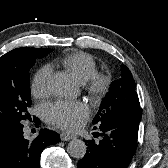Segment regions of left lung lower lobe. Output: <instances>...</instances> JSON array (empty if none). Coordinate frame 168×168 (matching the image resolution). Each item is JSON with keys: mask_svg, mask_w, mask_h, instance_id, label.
I'll list each match as a JSON object with an SVG mask.
<instances>
[{"mask_svg": "<svg viewBox=\"0 0 168 168\" xmlns=\"http://www.w3.org/2000/svg\"><path fill=\"white\" fill-rule=\"evenodd\" d=\"M99 125L103 138L84 140L88 150L78 168H127L136 151L139 124L118 118Z\"/></svg>", "mask_w": 168, "mask_h": 168, "instance_id": "1", "label": "left lung lower lobe"}]
</instances>
